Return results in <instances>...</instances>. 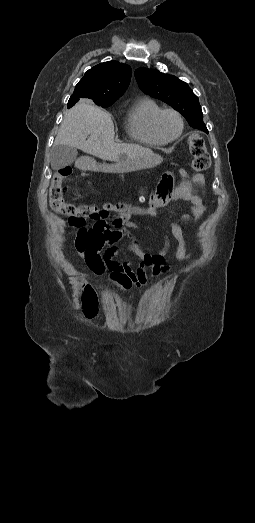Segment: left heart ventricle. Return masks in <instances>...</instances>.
<instances>
[{
  "instance_id": "b2bd125f",
  "label": "left heart ventricle",
  "mask_w": 255,
  "mask_h": 523,
  "mask_svg": "<svg viewBox=\"0 0 255 523\" xmlns=\"http://www.w3.org/2000/svg\"><path fill=\"white\" fill-rule=\"evenodd\" d=\"M179 121L172 113H165L159 120V129L162 135L167 138L175 137L179 132Z\"/></svg>"
}]
</instances>
